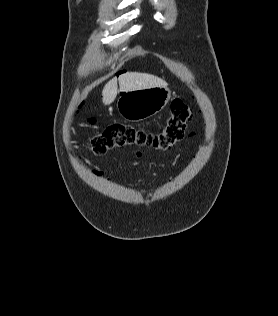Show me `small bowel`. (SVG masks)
<instances>
[{
	"instance_id": "c3829d8e",
	"label": "small bowel",
	"mask_w": 278,
	"mask_h": 316,
	"mask_svg": "<svg viewBox=\"0 0 278 316\" xmlns=\"http://www.w3.org/2000/svg\"><path fill=\"white\" fill-rule=\"evenodd\" d=\"M137 156H140V153H137ZM105 170H106L105 167H98V168L96 169V172H97V173H102V172H104Z\"/></svg>"
}]
</instances>
